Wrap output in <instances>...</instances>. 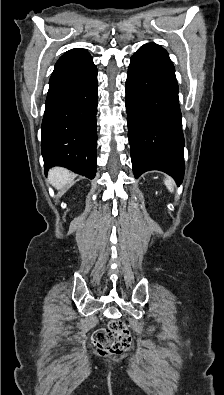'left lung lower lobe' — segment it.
Returning a JSON list of instances; mask_svg holds the SVG:
<instances>
[{
    "mask_svg": "<svg viewBox=\"0 0 224 395\" xmlns=\"http://www.w3.org/2000/svg\"><path fill=\"white\" fill-rule=\"evenodd\" d=\"M128 138L133 173L184 176V137L174 66L165 49L145 44L131 57L126 81Z\"/></svg>",
    "mask_w": 224,
    "mask_h": 395,
    "instance_id": "1",
    "label": "left lung lower lobe"
}]
</instances>
